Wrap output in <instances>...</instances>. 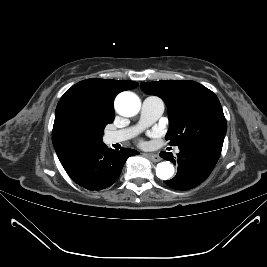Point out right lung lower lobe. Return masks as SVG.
Listing matches in <instances>:
<instances>
[{
	"label": "right lung lower lobe",
	"mask_w": 267,
	"mask_h": 267,
	"mask_svg": "<svg viewBox=\"0 0 267 267\" xmlns=\"http://www.w3.org/2000/svg\"><path fill=\"white\" fill-rule=\"evenodd\" d=\"M139 154L136 150L108 149L101 142L78 149L61 159L70 178L88 190H102L111 186L120 176L125 161Z\"/></svg>",
	"instance_id": "right-lung-lower-lobe-1"
}]
</instances>
